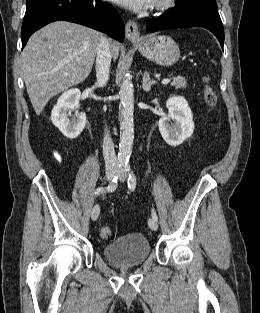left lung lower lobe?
<instances>
[{"label":"left lung lower lobe","instance_id":"left-lung-lower-lobe-1","mask_svg":"<svg viewBox=\"0 0 260 313\" xmlns=\"http://www.w3.org/2000/svg\"><path fill=\"white\" fill-rule=\"evenodd\" d=\"M203 27L210 30L219 40L223 48L224 28L218 12L201 9H180L174 7L161 16L149 21L146 26L148 33L173 29Z\"/></svg>","mask_w":260,"mask_h":313}]
</instances>
